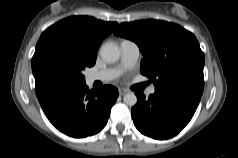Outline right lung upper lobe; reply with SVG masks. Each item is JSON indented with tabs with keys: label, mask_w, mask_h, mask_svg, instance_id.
<instances>
[{
	"label": "right lung upper lobe",
	"mask_w": 238,
	"mask_h": 158,
	"mask_svg": "<svg viewBox=\"0 0 238 158\" xmlns=\"http://www.w3.org/2000/svg\"><path fill=\"white\" fill-rule=\"evenodd\" d=\"M117 25L116 22H104L89 16H71L50 26L41 38L52 35L74 43L96 61L97 50L102 40Z\"/></svg>",
	"instance_id": "cb5924a9"
}]
</instances>
